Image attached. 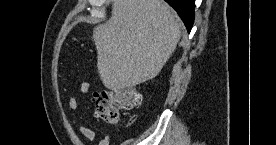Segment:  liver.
<instances>
[{"mask_svg": "<svg viewBox=\"0 0 276 145\" xmlns=\"http://www.w3.org/2000/svg\"><path fill=\"white\" fill-rule=\"evenodd\" d=\"M180 23L163 0H115L111 17L93 29L97 68L111 90L153 79L176 49Z\"/></svg>", "mask_w": 276, "mask_h": 145, "instance_id": "obj_1", "label": "liver"}]
</instances>
